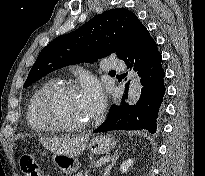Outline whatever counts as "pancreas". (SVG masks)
<instances>
[{"label": "pancreas", "mask_w": 205, "mask_h": 176, "mask_svg": "<svg viewBox=\"0 0 205 176\" xmlns=\"http://www.w3.org/2000/svg\"><path fill=\"white\" fill-rule=\"evenodd\" d=\"M75 176H82V174L81 173H77Z\"/></svg>", "instance_id": "pancreas-1"}]
</instances>
